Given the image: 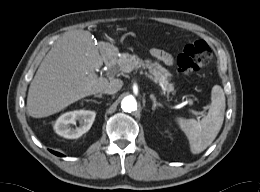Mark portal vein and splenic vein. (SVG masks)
I'll return each instance as SVG.
<instances>
[{
  "label": "portal vein and splenic vein",
  "instance_id": "obj_1",
  "mask_svg": "<svg viewBox=\"0 0 260 192\" xmlns=\"http://www.w3.org/2000/svg\"><path fill=\"white\" fill-rule=\"evenodd\" d=\"M134 69V67H131V66H123L122 68H121V70L123 71V72H125V73H129V72H131L132 70ZM141 73L143 74H145L148 78H150L152 81H154L155 83H157V80L152 76V75H150V74H148L147 72H143V71H141Z\"/></svg>",
  "mask_w": 260,
  "mask_h": 192
}]
</instances>
